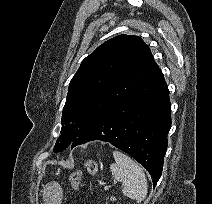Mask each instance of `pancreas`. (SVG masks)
<instances>
[{
  "label": "pancreas",
  "mask_w": 212,
  "mask_h": 204,
  "mask_svg": "<svg viewBox=\"0 0 212 204\" xmlns=\"http://www.w3.org/2000/svg\"><path fill=\"white\" fill-rule=\"evenodd\" d=\"M110 199H111L112 201H114V200H115V197H111Z\"/></svg>",
  "instance_id": "pancreas-1"
}]
</instances>
